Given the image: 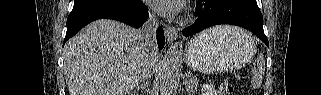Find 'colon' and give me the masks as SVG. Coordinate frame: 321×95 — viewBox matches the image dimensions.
Returning a JSON list of instances; mask_svg holds the SVG:
<instances>
[{
    "label": "colon",
    "instance_id": "1",
    "mask_svg": "<svg viewBox=\"0 0 321 95\" xmlns=\"http://www.w3.org/2000/svg\"><path fill=\"white\" fill-rule=\"evenodd\" d=\"M234 88L229 81H225L221 84L219 94L221 95H231L233 94Z\"/></svg>",
    "mask_w": 321,
    "mask_h": 95
}]
</instances>
